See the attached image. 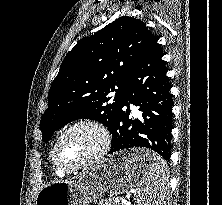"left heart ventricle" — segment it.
I'll return each instance as SVG.
<instances>
[{"instance_id": "b2bd125f", "label": "left heart ventricle", "mask_w": 222, "mask_h": 205, "mask_svg": "<svg viewBox=\"0 0 222 205\" xmlns=\"http://www.w3.org/2000/svg\"><path fill=\"white\" fill-rule=\"evenodd\" d=\"M101 137L89 127H79L69 132L60 142L57 156L61 164L74 166L97 151Z\"/></svg>"}]
</instances>
